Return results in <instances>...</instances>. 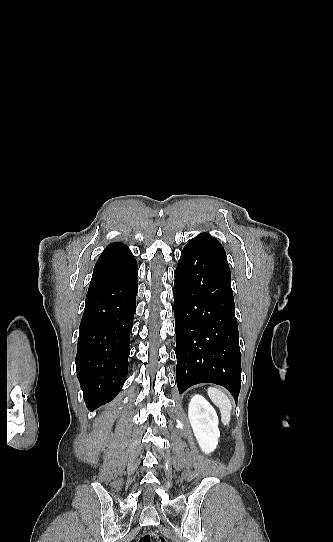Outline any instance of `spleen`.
I'll return each instance as SVG.
<instances>
[{"label": "spleen", "mask_w": 333, "mask_h": 542, "mask_svg": "<svg viewBox=\"0 0 333 542\" xmlns=\"http://www.w3.org/2000/svg\"><path fill=\"white\" fill-rule=\"evenodd\" d=\"M207 394L213 404L219 408L223 426H229L232 406L228 396L222 390H217V388H208Z\"/></svg>", "instance_id": "1"}]
</instances>
